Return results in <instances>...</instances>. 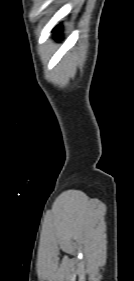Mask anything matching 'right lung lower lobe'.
Segmentation results:
<instances>
[{"label": "right lung lower lobe", "instance_id": "obj_1", "mask_svg": "<svg viewBox=\"0 0 134 281\" xmlns=\"http://www.w3.org/2000/svg\"><path fill=\"white\" fill-rule=\"evenodd\" d=\"M60 31V26H57L54 30H53V32H59Z\"/></svg>", "mask_w": 134, "mask_h": 281}]
</instances>
